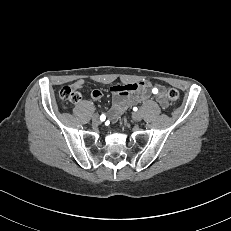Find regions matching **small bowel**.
Returning <instances> with one entry per match:
<instances>
[{
  "mask_svg": "<svg viewBox=\"0 0 231 231\" xmlns=\"http://www.w3.org/2000/svg\"><path fill=\"white\" fill-rule=\"evenodd\" d=\"M85 84L83 79H78L73 83L75 89H81ZM150 86L147 81L138 83H125L123 85H117L112 87L113 102L112 107L108 112L110 120H116L120 114L124 111L127 105L140 101L146 97V89ZM160 89V94H156L157 102L163 107H168V101L163 89ZM102 92L95 89L91 92V97L94 100H100L102 98Z\"/></svg>",
  "mask_w": 231,
  "mask_h": 231,
  "instance_id": "c3829d8e",
  "label": "small bowel"
}]
</instances>
